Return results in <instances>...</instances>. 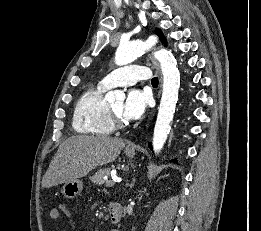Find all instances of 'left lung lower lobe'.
<instances>
[{
    "mask_svg": "<svg viewBox=\"0 0 261 231\" xmlns=\"http://www.w3.org/2000/svg\"><path fill=\"white\" fill-rule=\"evenodd\" d=\"M149 147L152 149V147L149 145ZM174 163H176L177 161L176 160H173Z\"/></svg>",
    "mask_w": 261,
    "mask_h": 231,
    "instance_id": "1",
    "label": "left lung lower lobe"
}]
</instances>
